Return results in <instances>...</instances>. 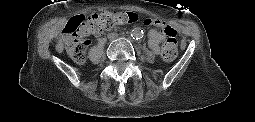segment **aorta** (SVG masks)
Masks as SVG:
<instances>
[{
  "instance_id": "762f6f07",
  "label": "aorta",
  "mask_w": 255,
  "mask_h": 122,
  "mask_svg": "<svg viewBox=\"0 0 255 122\" xmlns=\"http://www.w3.org/2000/svg\"><path fill=\"white\" fill-rule=\"evenodd\" d=\"M142 35H143V31L139 27H136L132 29L131 31V37H133L134 39H139L142 37Z\"/></svg>"
}]
</instances>
